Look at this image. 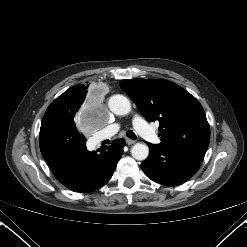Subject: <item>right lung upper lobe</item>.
I'll return each mask as SVG.
<instances>
[{
  "instance_id": "cb5924a9",
  "label": "right lung upper lobe",
  "mask_w": 247,
  "mask_h": 247,
  "mask_svg": "<svg viewBox=\"0 0 247 247\" xmlns=\"http://www.w3.org/2000/svg\"><path fill=\"white\" fill-rule=\"evenodd\" d=\"M88 86L89 85L84 86L81 84L75 85L67 91H65L63 95H72L77 100L83 101L86 98Z\"/></svg>"
}]
</instances>
